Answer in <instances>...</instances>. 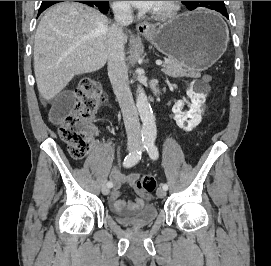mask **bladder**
Masks as SVG:
<instances>
[{"label": "bladder", "mask_w": 271, "mask_h": 266, "mask_svg": "<svg viewBox=\"0 0 271 266\" xmlns=\"http://www.w3.org/2000/svg\"><path fill=\"white\" fill-rule=\"evenodd\" d=\"M157 215V208L154 205H147L130 216H117L116 219L118 222L128 226L145 227L149 226L156 219Z\"/></svg>", "instance_id": "31cf9c89"}]
</instances>
